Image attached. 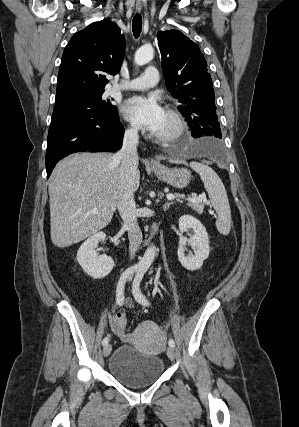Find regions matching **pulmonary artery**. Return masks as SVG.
<instances>
[{"instance_id": "pulmonary-artery-1", "label": "pulmonary artery", "mask_w": 299, "mask_h": 427, "mask_svg": "<svg viewBox=\"0 0 299 427\" xmlns=\"http://www.w3.org/2000/svg\"><path fill=\"white\" fill-rule=\"evenodd\" d=\"M158 80V70L154 66H148L141 76L127 82H120L116 85V88L123 90H145L155 86Z\"/></svg>"}]
</instances>
